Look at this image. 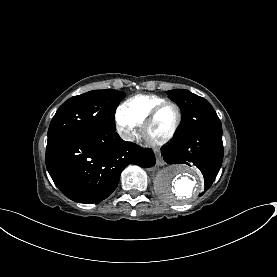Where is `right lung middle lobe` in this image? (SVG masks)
<instances>
[{"instance_id":"1","label":"right lung middle lobe","mask_w":277,"mask_h":277,"mask_svg":"<svg viewBox=\"0 0 277 277\" xmlns=\"http://www.w3.org/2000/svg\"><path fill=\"white\" fill-rule=\"evenodd\" d=\"M125 97L114 89L93 90L71 97L57 110L48 130V141L94 130H115V110Z\"/></svg>"}]
</instances>
